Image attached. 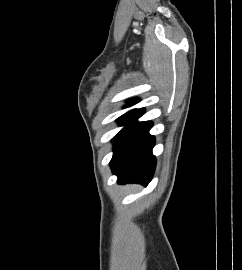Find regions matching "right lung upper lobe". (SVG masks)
<instances>
[{"mask_svg":"<svg viewBox=\"0 0 242 270\" xmlns=\"http://www.w3.org/2000/svg\"><path fill=\"white\" fill-rule=\"evenodd\" d=\"M137 102H138V100L135 99V100L128 101V104H129V105H134V104L137 103Z\"/></svg>","mask_w":242,"mask_h":270,"instance_id":"right-lung-upper-lobe-1","label":"right lung upper lobe"}]
</instances>
